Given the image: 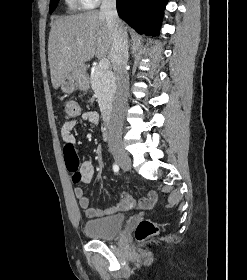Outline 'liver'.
<instances>
[{
	"label": "liver",
	"instance_id": "obj_1",
	"mask_svg": "<svg viewBox=\"0 0 247 280\" xmlns=\"http://www.w3.org/2000/svg\"><path fill=\"white\" fill-rule=\"evenodd\" d=\"M112 37L104 14L89 11L56 19L48 40V61L54 89L92 57L111 58Z\"/></svg>",
	"mask_w": 247,
	"mask_h": 280
}]
</instances>
